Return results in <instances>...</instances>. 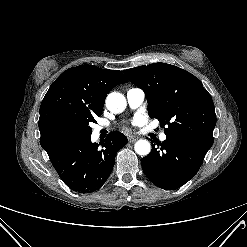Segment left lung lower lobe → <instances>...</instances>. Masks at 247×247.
Masks as SVG:
<instances>
[{"mask_svg": "<svg viewBox=\"0 0 247 247\" xmlns=\"http://www.w3.org/2000/svg\"><path fill=\"white\" fill-rule=\"evenodd\" d=\"M209 149L188 138L167 136L142 159V169L157 187L175 190L195 176Z\"/></svg>", "mask_w": 247, "mask_h": 247, "instance_id": "obj_1", "label": "left lung lower lobe"}]
</instances>
